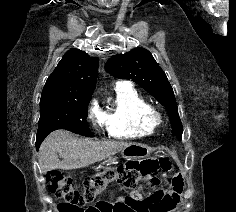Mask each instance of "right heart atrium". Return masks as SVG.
<instances>
[{"label": "right heart atrium", "mask_w": 236, "mask_h": 212, "mask_svg": "<svg viewBox=\"0 0 236 212\" xmlns=\"http://www.w3.org/2000/svg\"><path fill=\"white\" fill-rule=\"evenodd\" d=\"M88 117L94 122L97 126L104 125V116L103 112L100 110L96 101H92L89 110H88Z\"/></svg>", "instance_id": "right-heart-atrium-1"}]
</instances>
